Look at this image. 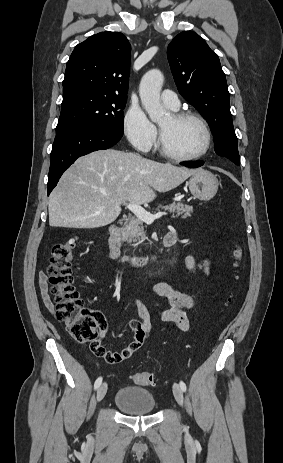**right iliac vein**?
Wrapping results in <instances>:
<instances>
[{
	"instance_id": "obj_1",
	"label": "right iliac vein",
	"mask_w": 283,
	"mask_h": 463,
	"mask_svg": "<svg viewBox=\"0 0 283 463\" xmlns=\"http://www.w3.org/2000/svg\"><path fill=\"white\" fill-rule=\"evenodd\" d=\"M107 383H102L97 390V401L100 402L106 395Z\"/></svg>"
}]
</instances>
